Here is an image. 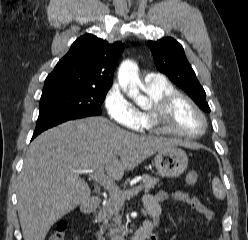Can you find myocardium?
I'll use <instances>...</instances> for the list:
<instances>
[{
    "instance_id": "myocardium-1",
    "label": "myocardium",
    "mask_w": 248,
    "mask_h": 240,
    "mask_svg": "<svg viewBox=\"0 0 248 240\" xmlns=\"http://www.w3.org/2000/svg\"><path fill=\"white\" fill-rule=\"evenodd\" d=\"M179 99L187 101L199 114L203 121V129L197 133H183L177 130L170 128L167 125V118L170 114V111L173 105ZM149 123L150 127L159 133L185 138V139H196L203 136L208 128V120L203 110L199 105L187 94L180 91H173L164 96L159 100L152 103L151 108L149 109Z\"/></svg>"
}]
</instances>
